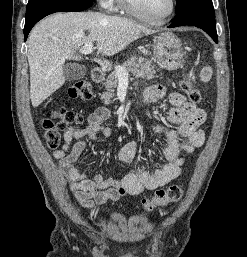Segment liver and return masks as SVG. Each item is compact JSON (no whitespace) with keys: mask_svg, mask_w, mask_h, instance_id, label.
Returning a JSON list of instances; mask_svg holds the SVG:
<instances>
[{"mask_svg":"<svg viewBox=\"0 0 247 257\" xmlns=\"http://www.w3.org/2000/svg\"><path fill=\"white\" fill-rule=\"evenodd\" d=\"M155 31L130 19L98 12L56 13L39 22L28 39L30 99L38 107L65 82L66 60H81L76 52L96 41L98 53L112 56L142 34Z\"/></svg>","mask_w":247,"mask_h":257,"instance_id":"6515ba94","label":"liver"}]
</instances>
